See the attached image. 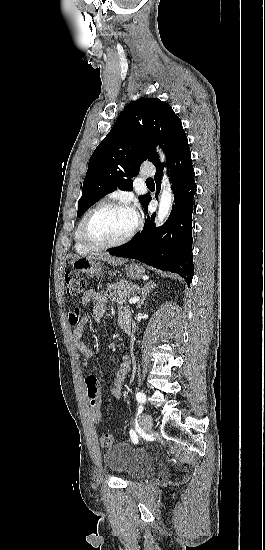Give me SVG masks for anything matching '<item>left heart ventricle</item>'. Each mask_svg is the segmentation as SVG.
Instances as JSON below:
<instances>
[{"label":"left heart ventricle","instance_id":"1","mask_svg":"<svg viewBox=\"0 0 265 550\" xmlns=\"http://www.w3.org/2000/svg\"><path fill=\"white\" fill-rule=\"evenodd\" d=\"M132 211L110 208L92 217L87 226L88 236L99 243H109L125 237L135 226Z\"/></svg>","mask_w":265,"mask_h":550}]
</instances>
